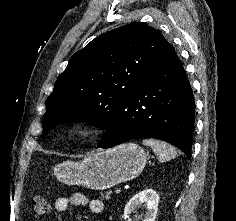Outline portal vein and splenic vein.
Listing matches in <instances>:
<instances>
[{
	"label": "portal vein and splenic vein",
	"mask_w": 236,
	"mask_h": 221,
	"mask_svg": "<svg viewBox=\"0 0 236 221\" xmlns=\"http://www.w3.org/2000/svg\"><path fill=\"white\" fill-rule=\"evenodd\" d=\"M120 192H121V188H120V187H118V188L115 189V193H116V194H119Z\"/></svg>",
	"instance_id": "portal-vein-and-splenic-vein-1"
}]
</instances>
